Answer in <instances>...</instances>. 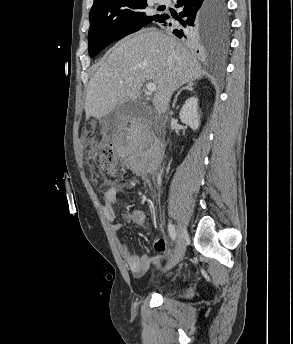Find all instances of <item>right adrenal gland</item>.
<instances>
[{"instance_id":"2a0ac1e0","label":"right adrenal gland","mask_w":293,"mask_h":344,"mask_svg":"<svg viewBox=\"0 0 293 344\" xmlns=\"http://www.w3.org/2000/svg\"><path fill=\"white\" fill-rule=\"evenodd\" d=\"M193 86H194V83H188L185 87H183L182 89H180L177 94L175 95V98H174V101H173V105L172 107L175 108V105H176V102H177V99H178V96L180 95V93L183 91V90H188V91H193Z\"/></svg>"}]
</instances>
